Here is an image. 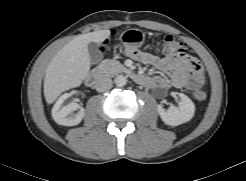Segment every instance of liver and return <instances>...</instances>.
<instances>
[{
    "label": "liver",
    "mask_w": 246,
    "mask_h": 181,
    "mask_svg": "<svg viewBox=\"0 0 246 181\" xmlns=\"http://www.w3.org/2000/svg\"><path fill=\"white\" fill-rule=\"evenodd\" d=\"M110 30L82 34L63 46L49 63L44 78V97L52 104L64 91L82 84L90 70L88 44L101 43Z\"/></svg>",
    "instance_id": "liver-1"
}]
</instances>
